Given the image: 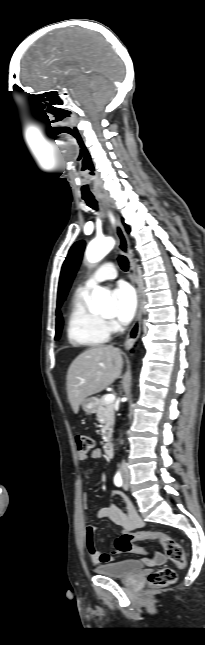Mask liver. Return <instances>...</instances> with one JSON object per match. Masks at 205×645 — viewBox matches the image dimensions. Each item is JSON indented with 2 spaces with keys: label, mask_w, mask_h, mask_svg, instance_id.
Here are the masks:
<instances>
[{
  "label": "liver",
  "mask_w": 205,
  "mask_h": 645,
  "mask_svg": "<svg viewBox=\"0 0 205 645\" xmlns=\"http://www.w3.org/2000/svg\"><path fill=\"white\" fill-rule=\"evenodd\" d=\"M122 352L112 345L93 346L71 363L67 372V395L75 414L91 395L110 386L121 376Z\"/></svg>",
  "instance_id": "liver-1"
}]
</instances>
